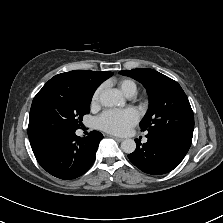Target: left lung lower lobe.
Masks as SVG:
<instances>
[{"instance_id":"obj_1","label":"left lung lower lobe","mask_w":223,"mask_h":223,"mask_svg":"<svg viewBox=\"0 0 223 223\" xmlns=\"http://www.w3.org/2000/svg\"><path fill=\"white\" fill-rule=\"evenodd\" d=\"M148 141L141 146L136 139V150L129 160L145 173L159 175L170 172L183 160L191 141L164 133H148Z\"/></svg>"}]
</instances>
